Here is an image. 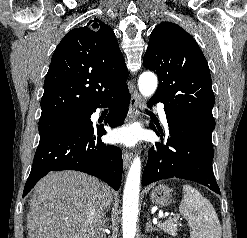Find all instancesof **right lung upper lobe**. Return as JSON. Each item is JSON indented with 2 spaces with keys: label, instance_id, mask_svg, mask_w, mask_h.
Returning <instances> with one entry per match:
<instances>
[{
  "label": "right lung upper lobe",
  "instance_id": "right-lung-upper-lobe-1",
  "mask_svg": "<svg viewBox=\"0 0 247 238\" xmlns=\"http://www.w3.org/2000/svg\"><path fill=\"white\" fill-rule=\"evenodd\" d=\"M128 69L113 30L95 19L68 32L44 81L39 121L84 113L127 85Z\"/></svg>",
  "mask_w": 247,
  "mask_h": 238
}]
</instances>
